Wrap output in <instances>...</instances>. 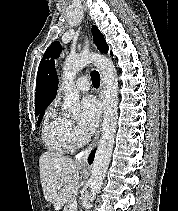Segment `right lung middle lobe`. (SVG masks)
<instances>
[{
  "label": "right lung middle lobe",
  "mask_w": 178,
  "mask_h": 211,
  "mask_svg": "<svg viewBox=\"0 0 178 211\" xmlns=\"http://www.w3.org/2000/svg\"><path fill=\"white\" fill-rule=\"evenodd\" d=\"M43 111H40V112H35V115H39V118H38V125L40 123V121L42 120V117H43V114H42Z\"/></svg>",
  "instance_id": "1"
}]
</instances>
